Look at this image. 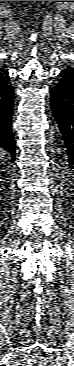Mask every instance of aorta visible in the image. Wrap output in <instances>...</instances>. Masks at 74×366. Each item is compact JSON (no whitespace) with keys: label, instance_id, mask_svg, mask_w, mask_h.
I'll return each mask as SVG.
<instances>
[{"label":"aorta","instance_id":"obj_1","mask_svg":"<svg viewBox=\"0 0 74 366\" xmlns=\"http://www.w3.org/2000/svg\"><path fill=\"white\" fill-rule=\"evenodd\" d=\"M55 151H56L58 154H62V152H64L63 144H62L61 142L57 144V147H56ZM59 162H60V161H59Z\"/></svg>","mask_w":74,"mask_h":366}]
</instances>
